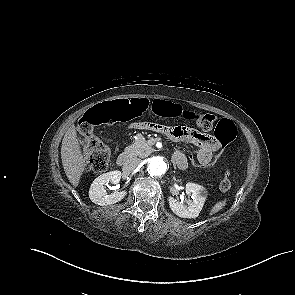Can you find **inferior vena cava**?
<instances>
[{
    "instance_id": "602c4592",
    "label": "inferior vena cava",
    "mask_w": 295,
    "mask_h": 295,
    "mask_svg": "<svg viewBox=\"0 0 295 295\" xmlns=\"http://www.w3.org/2000/svg\"><path fill=\"white\" fill-rule=\"evenodd\" d=\"M141 165V160L138 158L128 159L123 165V171L132 172Z\"/></svg>"
}]
</instances>
